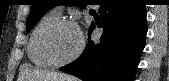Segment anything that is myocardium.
<instances>
[{
  "label": "myocardium",
  "instance_id": "obj_1",
  "mask_svg": "<svg viewBox=\"0 0 169 81\" xmlns=\"http://www.w3.org/2000/svg\"><path fill=\"white\" fill-rule=\"evenodd\" d=\"M64 26H73L75 28L78 29L79 34H80V45L77 49V51L70 56L69 58L65 59V60H60L57 59L51 50V40L54 36V34L62 27ZM85 47V40L83 37V34L81 32V30L79 29L78 25L76 22H74L71 19H59L58 21H56L55 23H53L44 33L43 37H42V42H41V48H42V53L44 55V57L53 65V66H64L67 65L73 61H75L76 59H78L80 57V55L82 54L83 50Z\"/></svg>",
  "mask_w": 169,
  "mask_h": 81
}]
</instances>
